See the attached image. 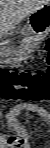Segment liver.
I'll return each mask as SVG.
<instances>
[{
	"label": "liver",
	"mask_w": 50,
	"mask_h": 148,
	"mask_svg": "<svg viewBox=\"0 0 50 148\" xmlns=\"http://www.w3.org/2000/svg\"><path fill=\"white\" fill-rule=\"evenodd\" d=\"M47 4H49V0H1V33H7L25 17Z\"/></svg>",
	"instance_id": "obj_1"
}]
</instances>
